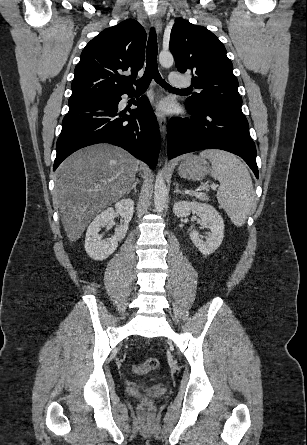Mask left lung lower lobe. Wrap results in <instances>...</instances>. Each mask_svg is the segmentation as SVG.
I'll use <instances>...</instances> for the list:
<instances>
[{
	"instance_id": "left-lung-lower-lobe-1",
	"label": "left lung lower lobe",
	"mask_w": 307,
	"mask_h": 445,
	"mask_svg": "<svg viewBox=\"0 0 307 445\" xmlns=\"http://www.w3.org/2000/svg\"><path fill=\"white\" fill-rule=\"evenodd\" d=\"M188 111L190 118L174 117L169 122V159L202 149H222L242 157L259 177L255 144L242 112L223 108Z\"/></svg>"
}]
</instances>
